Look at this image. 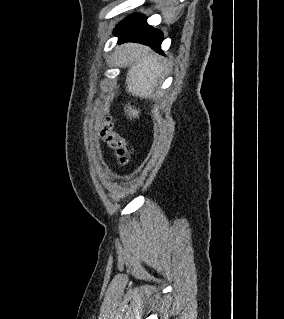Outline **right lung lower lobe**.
Wrapping results in <instances>:
<instances>
[{
    "instance_id": "right-lung-lower-lobe-1",
    "label": "right lung lower lobe",
    "mask_w": 284,
    "mask_h": 319,
    "mask_svg": "<svg viewBox=\"0 0 284 319\" xmlns=\"http://www.w3.org/2000/svg\"><path fill=\"white\" fill-rule=\"evenodd\" d=\"M115 34L119 36L118 43L139 42L163 54L160 49L163 40L162 32L149 26L141 14H134L120 23Z\"/></svg>"
}]
</instances>
